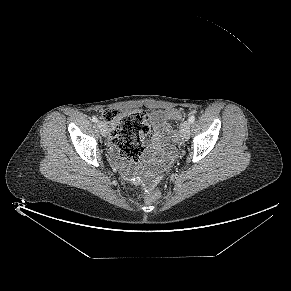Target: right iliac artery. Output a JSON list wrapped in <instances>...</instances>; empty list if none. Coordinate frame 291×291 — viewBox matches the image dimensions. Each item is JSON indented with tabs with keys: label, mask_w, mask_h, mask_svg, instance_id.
I'll use <instances>...</instances> for the list:
<instances>
[{
	"label": "right iliac artery",
	"mask_w": 291,
	"mask_h": 291,
	"mask_svg": "<svg viewBox=\"0 0 291 291\" xmlns=\"http://www.w3.org/2000/svg\"><path fill=\"white\" fill-rule=\"evenodd\" d=\"M93 122L97 123L98 122V119L97 117L93 116L92 119H91Z\"/></svg>",
	"instance_id": "right-iliac-artery-1"
}]
</instances>
